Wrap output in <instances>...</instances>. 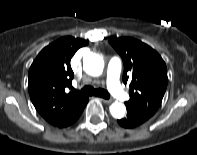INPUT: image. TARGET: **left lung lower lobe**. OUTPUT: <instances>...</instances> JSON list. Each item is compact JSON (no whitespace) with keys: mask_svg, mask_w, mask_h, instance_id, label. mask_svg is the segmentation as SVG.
Instances as JSON below:
<instances>
[{"mask_svg":"<svg viewBox=\"0 0 197 155\" xmlns=\"http://www.w3.org/2000/svg\"><path fill=\"white\" fill-rule=\"evenodd\" d=\"M147 120V118L135 112L133 109L127 108V117L117 120V122L124 128H134Z\"/></svg>","mask_w":197,"mask_h":155,"instance_id":"left-lung-lower-lobe-1","label":"left lung lower lobe"}]
</instances>
